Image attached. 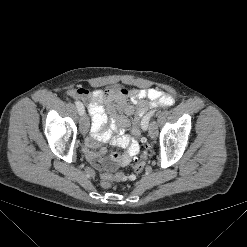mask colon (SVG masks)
Wrapping results in <instances>:
<instances>
[{
    "mask_svg": "<svg viewBox=\"0 0 247 247\" xmlns=\"http://www.w3.org/2000/svg\"><path fill=\"white\" fill-rule=\"evenodd\" d=\"M143 125L142 119L135 121L132 125V132L136 138L140 141L141 153L140 156L136 159L135 164L133 166V172L131 174L124 173H103L101 175V184L105 188H109L111 183L116 181H125V180H133L135 179L145 168L148 158L150 156V146L148 144L147 139L143 135Z\"/></svg>",
    "mask_w": 247,
    "mask_h": 247,
    "instance_id": "5ec220e1",
    "label": "colon"
}]
</instances>
